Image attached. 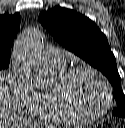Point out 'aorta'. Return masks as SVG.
Masks as SVG:
<instances>
[{
    "mask_svg": "<svg viewBox=\"0 0 125 128\" xmlns=\"http://www.w3.org/2000/svg\"><path fill=\"white\" fill-rule=\"evenodd\" d=\"M42 34L37 29L26 30L15 42L14 59L16 64L40 88L52 85V77L42 55Z\"/></svg>",
    "mask_w": 125,
    "mask_h": 128,
    "instance_id": "obj_1",
    "label": "aorta"
}]
</instances>
